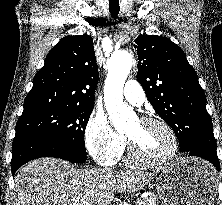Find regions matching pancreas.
I'll use <instances>...</instances> for the list:
<instances>
[{"mask_svg":"<svg viewBox=\"0 0 222 205\" xmlns=\"http://www.w3.org/2000/svg\"><path fill=\"white\" fill-rule=\"evenodd\" d=\"M137 205H157L156 197L151 195V196L144 197L142 199H138Z\"/></svg>","mask_w":222,"mask_h":205,"instance_id":"pancreas-1","label":"pancreas"}]
</instances>
